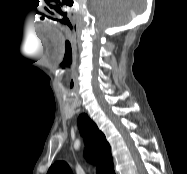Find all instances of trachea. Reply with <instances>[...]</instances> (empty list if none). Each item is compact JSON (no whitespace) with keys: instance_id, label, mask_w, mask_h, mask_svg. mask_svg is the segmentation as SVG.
<instances>
[{"instance_id":"trachea-1","label":"trachea","mask_w":187,"mask_h":174,"mask_svg":"<svg viewBox=\"0 0 187 174\" xmlns=\"http://www.w3.org/2000/svg\"><path fill=\"white\" fill-rule=\"evenodd\" d=\"M96 173H97V174H103L102 168H101V167H98Z\"/></svg>"}]
</instances>
